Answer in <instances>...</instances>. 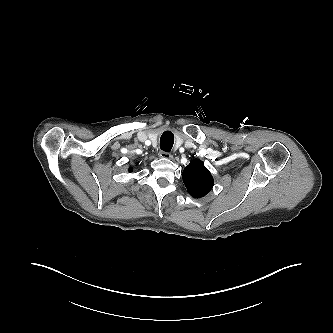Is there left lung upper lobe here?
Wrapping results in <instances>:
<instances>
[{"label":"left lung upper lobe","mask_w":333,"mask_h":333,"mask_svg":"<svg viewBox=\"0 0 333 333\" xmlns=\"http://www.w3.org/2000/svg\"><path fill=\"white\" fill-rule=\"evenodd\" d=\"M182 178L187 191L194 198L205 196L210 192L214 183L211 173L199 159H194L187 165Z\"/></svg>","instance_id":"obj_1"}]
</instances>
